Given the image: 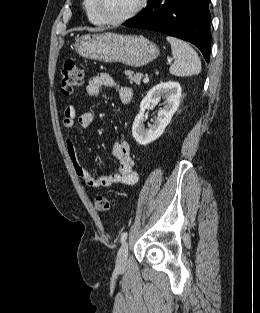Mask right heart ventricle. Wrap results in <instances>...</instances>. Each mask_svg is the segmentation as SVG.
Here are the masks:
<instances>
[{
  "instance_id": "1",
  "label": "right heart ventricle",
  "mask_w": 260,
  "mask_h": 313,
  "mask_svg": "<svg viewBox=\"0 0 260 313\" xmlns=\"http://www.w3.org/2000/svg\"><path fill=\"white\" fill-rule=\"evenodd\" d=\"M83 8L85 13L89 19V21L95 25H103L104 23L96 14L94 7H93V0H83Z\"/></svg>"
}]
</instances>
